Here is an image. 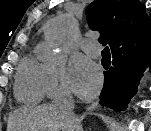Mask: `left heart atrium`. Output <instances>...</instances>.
Returning <instances> with one entry per match:
<instances>
[{
	"instance_id": "obj_1",
	"label": "left heart atrium",
	"mask_w": 151,
	"mask_h": 131,
	"mask_svg": "<svg viewBox=\"0 0 151 131\" xmlns=\"http://www.w3.org/2000/svg\"><path fill=\"white\" fill-rule=\"evenodd\" d=\"M71 83L76 95L88 99L99 91L102 73L95 63L83 56H77L72 62Z\"/></svg>"
}]
</instances>
